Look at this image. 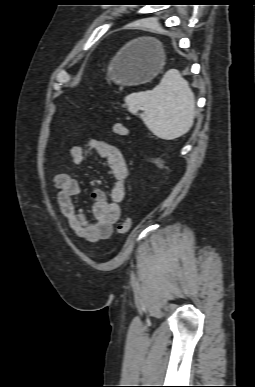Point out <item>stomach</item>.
<instances>
[{
  "label": "stomach",
  "instance_id": "obj_1",
  "mask_svg": "<svg viewBox=\"0 0 255 387\" xmlns=\"http://www.w3.org/2000/svg\"><path fill=\"white\" fill-rule=\"evenodd\" d=\"M165 65V53L154 39L128 43L110 64L108 79L120 85H137L151 81Z\"/></svg>",
  "mask_w": 255,
  "mask_h": 387
}]
</instances>
